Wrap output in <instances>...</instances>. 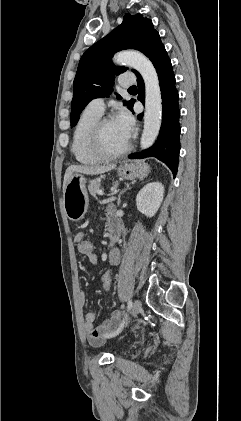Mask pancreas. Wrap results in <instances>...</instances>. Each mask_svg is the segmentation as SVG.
<instances>
[{"instance_id":"pancreas-1","label":"pancreas","mask_w":241,"mask_h":421,"mask_svg":"<svg viewBox=\"0 0 241 421\" xmlns=\"http://www.w3.org/2000/svg\"><path fill=\"white\" fill-rule=\"evenodd\" d=\"M114 187L118 186V182L113 184ZM88 190L92 196H95L100 190V179H94L89 182Z\"/></svg>"}]
</instances>
